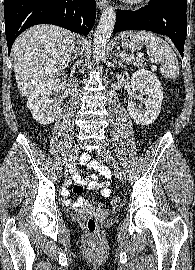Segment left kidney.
Wrapping results in <instances>:
<instances>
[{
	"label": "left kidney",
	"mask_w": 195,
	"mask_h": 270,
	"mask_svg": "<svg viewBox=\"0 0 195 270\" xmlns=\"http://www.w3.org/2000/svg\"><path fill=\"white\" fill-rule=\"evenodd\" d=\"M132 99L128 102L127 110L130 117L141 125H148L154 122L161 110L163 101V87L154 73L140 69L131 77ZM139 92L141 95L136 96ZM145 96L142 98V96ZM138 97L144 101L145 110L138 109L135 99Z\"/></svg>",
	"instance_id": "left-kidney-1"
}]
</instances>
